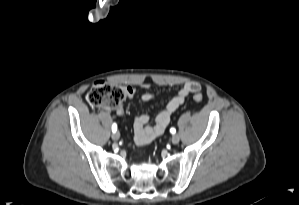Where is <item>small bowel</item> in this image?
I'll return each instance as SVG.
<instances>
[{
	"instance_id": "1",
	"label": "small bowel",
	"mask_w": 299,
	"mask_h": 205,
	"mask_svg": "<svg viewBox=\"0 0 299 205\" xmlns=\"http://www.w3.org/2000/svg\"><path fill=\"white\" fill-rule=\"evenodd\" d=\"M143 88H148L147 84ZM126 95L129 97L134 96L135 89L131 86H126ZM200 85L197 82L185 83L176 93V95L169 100L163 110H161L155 117L154 125H149L150 116L148 114H139L136 116L133 124L134 140L139 145H146L152 142L155 138L162 135L169 126L171 116L173 113L185 102L187 96L191 93L198 92ZM155 95L151 92H145L141 95L140 99L143 102L154 100ZM118 116L124 115L122 106L115 108Z\"/></svg>"
}]
</instances>
